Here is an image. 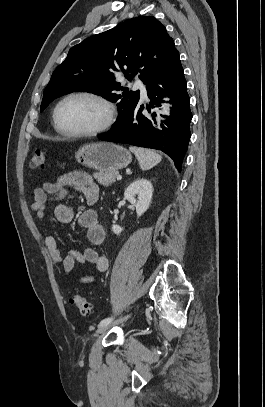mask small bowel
<instances>
[{
    "label": "small bowel",
    "instance_id": "c3829d8e",
    "mask_svg": "<svg viewBox=\"0 0 265 407\" xmlns=\"http://www.w3.org/2000/svg\"><path fill=\"white\" fill-rule=\"evenodd\" d=\"M68 189L82 192L89 204L94 203L99 194L97 184L92 177L83 171H73L60 176L56 181L44 182L34 190V201L31 211L37 225L45 229L44 218L47 206L56 202L54 216L60 223H70L73 219V210L70 206L60 201L67 195ZM80 224L86 230V237L91 246H85L82 250H71L63 257L56 239L45 235V245L52 260L59 264L65 275H69L74 266L78 264L93 265L97 271L104 272L108 268L107 257L95 247L100 246L105 240V230L95 210L87 209L80 216ZM91 276H82V283H91Z\"/></svg>",
    "mask_w": 265,
    "mask_h": 407
}]
</instances>
